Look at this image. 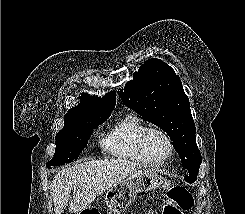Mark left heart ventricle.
<instances>
[{"instance_id":"obj_1","label":"left heart ventricle","mask_w":245,"mask_h":214,"mask_svg":"<svg viewBox=\"0 0 245 214\" xmlns=\"http://www.w3.org/2000/svg\"><path fill=\"white\" fill-rule=\"evenodd\" d=\"M146 151L149 158L152 160H160L168 154L169 148L165 138L162 135L152 133L147 138Z\"/></svg>"}]
</instances>
